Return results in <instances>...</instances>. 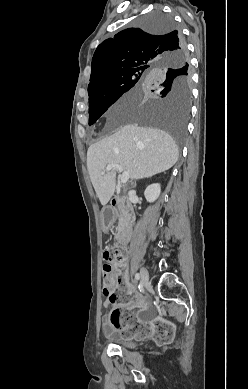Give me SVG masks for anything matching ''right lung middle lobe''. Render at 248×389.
<instances>
[{
    "instance_id": "dd1d6c3e",
    "label": "right lung middle lobe",
    "mask_w": 248,
    "mask_h": 389,
    "mask_svg": "<svg viewBox=\"0 0 248 389\" xmlns=\"http://www.w3.org/2000/svg\"><path fill=\"white\" fill-rule=\"evenodd\" d=\"M142 27L152 33H167L175 29L173 18L160 10L145 15ZM153 92L158 103L123 104L118 109L121 117L140 121L167 130L178 146L184 142L186 122L191 104V72L188 60L171 57L154 69ZM147 72L132 70L118 75L110 84L89 94V125L94 124L125 92L138 86Z\"/></svg>"
}]
</instances>
